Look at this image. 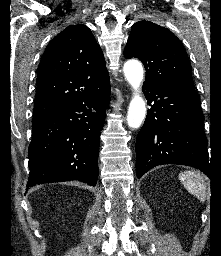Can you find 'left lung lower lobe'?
<instances>
[{
	"label": "left lung lower lobe",
	"mask_w": 221,
	"mask_h": 256,
	"mask_svg": "<svg viewBox=\"0 0 221 256\" xmlns=\"http://www.w3.org/2000/svg\"><path fill=\"white\" fill-rule=\"evenodd\" d=\"M143 91L151 108L136 139L137 177L163 164L197 167L207 174V138L197 92L146 84Z\"/></svg>",
	"instance_id": "0a47b994"
}]
</instances>
